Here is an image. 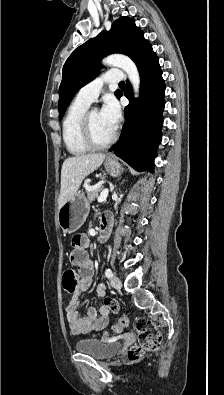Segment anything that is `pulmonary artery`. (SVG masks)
Instances as JSON below:
<instances>
[{
  "label": "pulmonary artery",
  "instance_id": "1",
  "mask_svg": "<svg viewBox=\"0 0 224 395\" xmlns=\"http://www.w3.org/2000/svg\"><path fill=\"white\" fill-rule=\"evenodd\" d=\"M123 76L124 73L120 69L108 70L104 75L83 86L78 91L76 98L90 104L97 99L105 83L119 82Z\"/></svg>",
  "mask_w": 224,
  "mask_h": 395
}]
</instances>
